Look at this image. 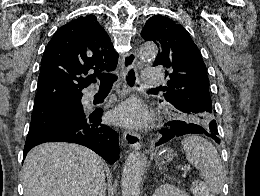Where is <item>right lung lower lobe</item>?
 <instances>
[{"mask_svg": "<svg viewBox=\"0 0 260 196\" xmlns=\"http://www.w3.org/2000/svg\"><path fill=\"white\" fill-rule=\"evenodd\" d=\"M101 116L102 109L99 108L88 113L82 120L28 134L23 159L36 145L45 142H70L86 146L110 164L114 163L119 158L118 135L112 128L101 123Z\"/></svg>", "mask_w": 260, "mask_h": 196, "instance_id": "right-lung-lower-lobe-1", "label": "right lung lower lobe"}]
</instances>
